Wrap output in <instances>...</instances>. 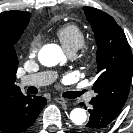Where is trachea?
Segmentation results:
<instances>
[{
	"instance_id": "obj_1",
	"label": "trachea",
	"mask_w": 133,
	"mask_h": 133,
	"mask_svg": "<svg viewBox=\"0 0 133 133\" xmlns=\"http://www.w3.org/2000/svg\"><path fill=\"white\" fill-rule=\"evenodd\" d=\"M83 93H84V91H82V92H72L70 98H76V97L80 96Z\"/></svg>"
}]
</instances>
